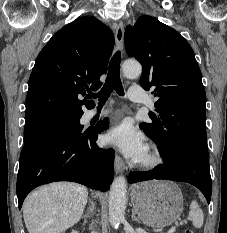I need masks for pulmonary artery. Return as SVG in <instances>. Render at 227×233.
Listing matches in <instances>:
<instances>
[{
  "label": "pulmonary artery",
  "mask_w": 227,
  "mask_h": 233,
  "mask_svg": "<svg viewBox=\"0 0 227 233\" xmlns=\"http://www.w3.org/2000/svg\"><path fill=\"white\" fill-rule=\"evenodd\" d=\"M129 99L135 102H143L144 98L141 94V92L135 88H130L128 93ZM110 114V110L104 109L101 112H93V116H99V117H105Z\"/></svg>",
  "instance_id": "obj_1"
}]
</instances>
